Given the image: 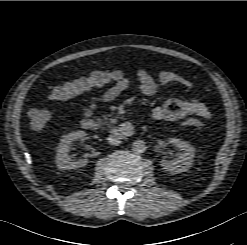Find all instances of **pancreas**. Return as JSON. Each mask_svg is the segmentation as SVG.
I'll return each mask as SVG.
<instances>
[{
  "instance_id": "cf45deb5",
  "label": "pancreas",
  "mask_w": 247,
  "mask_h": 245,
  "mask_svg": "<svg viewBox=\"0 0 247 245\" xmlns=\"http://www.w3.org/2000/svg\"><path fill=\"white\" fill-rule=\"evenodd\" d=\"M97 121L100 124L109 125L111 123H114L116 120L115 119H112V118H109V115H103L102 119L101 118H98Z\"/></svg>"
}]
</instances>
